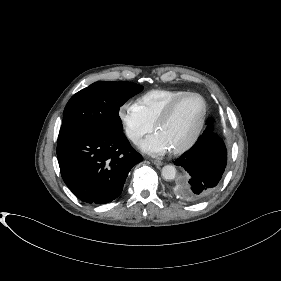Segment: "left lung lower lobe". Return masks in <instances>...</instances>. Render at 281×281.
<instances>
[{"instance_id": "0a47b994", "label": "left lung lower lobe", "mask_w": 281, "mask_h": 281, "mask_svg": "<svg viewBox=\"0 0 281 281\" xmlns=\"http://www.w3.org/2000/svg\"><path fill=\"white\" fill-rule=\"evenodd\" d=\"M207 124L197 142L175 161L188 173L179 184L178 193L192 203L203 201L216 191L227 164L225 144L213 132L211 118Z\"/></svg>"}]
</instances>
